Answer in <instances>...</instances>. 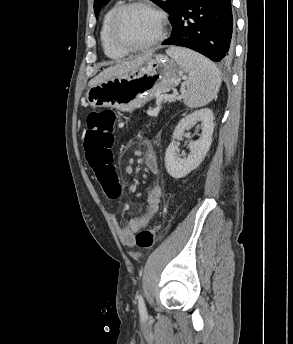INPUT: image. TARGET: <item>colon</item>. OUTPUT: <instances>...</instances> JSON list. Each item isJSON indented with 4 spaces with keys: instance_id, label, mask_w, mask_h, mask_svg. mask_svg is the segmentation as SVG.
I'll use <instances>...</instances> for the list:
<instances>
[{
    "instance_id": "colon-1",
    "label": "colon",
    "mask_w": 293,
    "mask_h": 344,
    "mask_svg": "<svg viewBox=\"0 0 293 344\" xmlns=\"http://www.w3.org/2000/svg\"><path fill=\"white\" fill-rule=\"evenodd\" d=\"M117 116L112 110L92 111L86 118V134L83 147L86 159L95 172L104 193L110 199L120 195L121 188L115 176H112V147L115 136L114 128ZM159 226L140 230L135 237V244L141 250L152 248L156 241Z\"/></svg>"
}]
</instances>
